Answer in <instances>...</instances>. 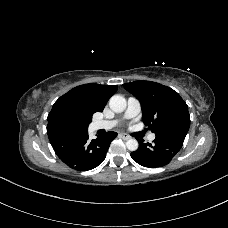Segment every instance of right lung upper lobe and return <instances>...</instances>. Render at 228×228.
I'll use <instances>...</instances> for the list:
<instances>
[{"mask_svg":"<svg viewBox=\"0 0 228 228\" xmlns=\"http://www.w3.org/2000/svg\"><path fill=\"white\" fill-rule=\"evenodd\" d=\"M117 85L84 84L71 89L54 103L47 120L48 136L60 131H81L63 121L66 112H72L82 122L92 121L95 112H102L109 98L117 91ZM82 126V125H81Z\"/></svg>","mask_w":228,"mask_h":228,"instance_id":"1","label":"right lung upper lobe"}]
</instances>
